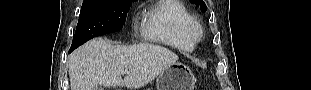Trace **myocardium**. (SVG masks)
<instances>
[{
	"label": "myocardium",
	"instance_id": "obj_1",
	"mask_svg": "<svg viewBox=\"0 0 311 90\" xmlns=\"http://www.w3.org/2000/svg\"><path fill=\"white\" fill-rule=\"evenodd\" d=\"M189 36L194 43L199 42L202 39L203 29L199 23H195L189 28Z\"/></svg>",
	"mask_w": 311,
	"mask_h": 90
}]
</instances>
